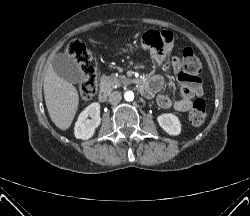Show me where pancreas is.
<instances>
[{"label": "pancreas", "instance_id": "cf45deb5", "mask_svg": "<svg viewBox=\"0 0 250 216\" xmlns=\"http://www.w3.org/2000/svg\"><path fill=\"white\" fill-rule=\"evenodd\" d=\"M130 83V80L125 76H103L101 78V85H103L108 90H113L114 88L120 87L122 85L126 86Z\"/></svg>", "mask_w": 250, "mask_h": 216}]
</instances>
